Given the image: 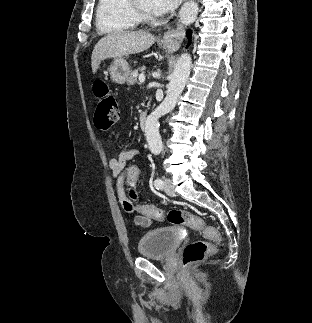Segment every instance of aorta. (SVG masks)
I'll return each instance as SVG.
<instances>
[{
  "label": "aorta",
  "mask_w": 312,
  "mask_h": 323,
  "mask_svg": "<svg viewBox=\"0 0 312 323\" xmlns=\"http://www.w3.org/2000/svg\"><path fill=\"white\" fill-rule=\"evenodd\" d=\"M191 64L192 60L190 54H182V56L178 58L175 70L167 86V96L165 100L156 108L155 112H152V114L148 116L145 122V136L149 150L152 154H160V152H162L163 144L159 134L158 120L161 116H165V114H168V112H171V110L175 108L176 102L179 96H181L186 86V82H188Z\"/></svg>",
  "instance_id": "obj_1"
}]
</instances>
